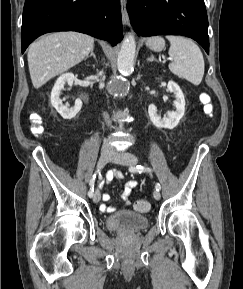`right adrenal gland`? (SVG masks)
I'll return each instance as SVG.
<instances>
[{"mask_svg":"<svg viewBox=\"0 0 243 289\" xmlns=\"http://www.w3.org/2000/svg\"><path fill=\"white\" fill-rule=\"evenodd\" d=\"M93 50L94 48L91 49V53L86 57V59L92 56L96 60V55L94 54Z\"/></svg>","mask_w":243,"mask_h":289,"instance_id":"right-adrenal-gland-1","label":"right adrenal gland"}]
</instances>
